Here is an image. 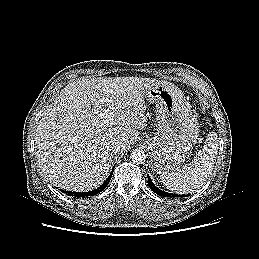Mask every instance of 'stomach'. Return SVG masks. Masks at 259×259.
<instances>
[{
  "label": "stomach",
  "instance_id": "obj_1",
  "mask_svg": "<svg viewBox=\"0 0 259 259\" xmlns=\"http://www.w3.org/2000/svg\"><path fill=\"white\" fill-rule=\"evenodd\" d=\"M147 98L156 106L159 136L146 141L151 169L168 173L181 166L198 140L199 125L182 91L161 81L150 86Z\"/></svg>",
  "mask_w": 259,
  "mask_h": 259
}]
</instances>
